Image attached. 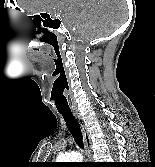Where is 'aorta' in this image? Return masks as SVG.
Masks as SVG:
<instances>
[{
	"mask_svg": "<svg viewBox=\"0 0 155 167\" xmlns=\"http://www.w3.org/2000/svg\"><path fill=\"white\" fill-rule=\"evenodd\" d=\"M82 155L78 152L62 154L57 158L59 162H81Z\"/></svg>",
	"mask_w": 155,
	"mask_h": 167,
	"instance_id": "obj_1",
	"label": "aorta"
}]
</instances>
